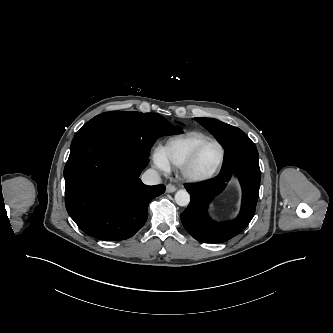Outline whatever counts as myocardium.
<instances>
[{"label": "myocardium", "instance_id": "1", "mask_svg": "<svg viewBox=\"0 0 333 333\" xmlns=\"http://www.w3.org/2000/svg\"><path fill=\"white\" fill-rule=\"evenodd\" d=\"M210 143H214L219 147L220 157H219L217 163L215 164V166L210 171H208L207 173L198 174L194 170L196 160H197L198 155H199L200 151L202 150V148ZM224 160H225L224 146L217 139L209 137V138L203 140L202 142H200L195 147V149L192 151V153L190 154V156L188 157L186 162L181 167V172H182L184 179L187 180L188 182L203 183V182L209 181L217 174V172L221 169V167L224 163Z\"/></svg>", "mask_w": 333, "mask_h": 333}]
</instances>
